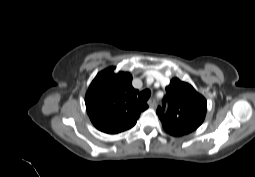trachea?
Returning a JSON list of instances; mask_svg holds the SVG:
<instances>
[{
    "instance_id": "obj_1",
    "label": "trachea",
    "mask_w": 255,
    "mask_h": 177,
    "mask_svg": "<svg viewBox=\"0 0 255 177\" xmlns=\"http://www.w3.org/2000/svg\"><path fill=\"white\" fill-rule=\"evenodd\" d=\"M150 95H151L150 90L146 89L139 94L138 99L142 102H146L150 98Z\"/></svg>"
}]
</instances>
